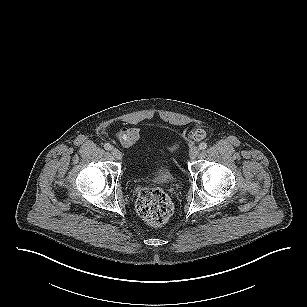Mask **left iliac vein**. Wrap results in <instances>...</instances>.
Listing matches in <instances>:
<instances>
[{
	"label": "left iliac vein",
	"instance_id": "left-iliac-vein-1",
	"mask_svg": "<svg viewBox=\"0 0 307 307\" xmlns=\"http://www.w3.org/2000/svg\"><path fill=\"white\" fill-rule=\"evenodd\" d=\"M199 152H200L199 147L194 146V147H192V148L190 149V151H189V157H190L191 159H195V158L198 156Z\"/></svg>",
	"mask_w": 307,
	"mask_h": 307
}]
</instances>
